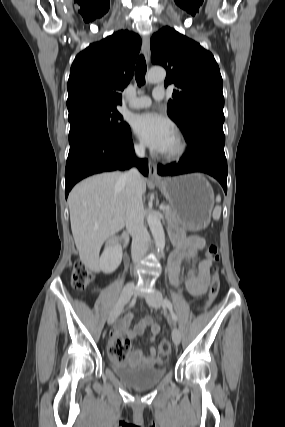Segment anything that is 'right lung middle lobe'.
<instances>
[{
    "label": "right lung middle lobe",
    "mask_w": 285,
    "mask_h": 427,
    "mask_svg": "<svg viewBox=\"0 0 285 427\" xmlns=\"http://www.w3.org/2000/svg\"><path fill=\"white\" fill-rule=\"evenodd\" d=\"M70 122L69 142L88 131H100L119 138L127 134L129 125L123 121L116 107H88L68 116Z\"/></svg>",
    "instance_id": "right-lung-middle-lobe-1"
}]
</instances>
